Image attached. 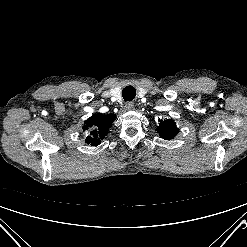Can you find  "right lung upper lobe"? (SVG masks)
Masks as SVG:
<instances>
[{
  "instance_id": "right-lung-upper-lobe-1",
  "label": "right lung upper lobe",
  "mask_w": 247,
  "mask_h": 247,
  "mask_svg": "<svg viewBox=\"0 0 247 247\" xmlns=\"http://www.w3.org/2000/svg\"><path fill=\"white\" fill-rule=\"evenodd\" d=\"M115 119L114 114L103 115L101 113L94 114L85 121L83 130H90V136L86 138V142L92 146H97L107 134Z\"/></svg>"
}]
</instances>
